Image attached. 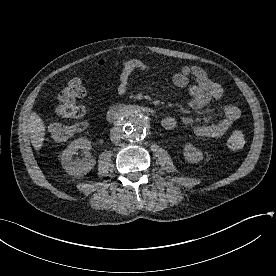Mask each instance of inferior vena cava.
I'll use <instances>...</instances> for the list:
<instances>
[{
    "instance_id": "1",
    "label": "inferior vena cava",
    "mask_w": 276,
    "mask_h": 276,
    "mask_svg": "<svg viewBox=\"0 0 276 276\" xmlns=\"http://www.w3.org/2000/svg\"><path fill=\"white\" fill-rule=\"evenodd\" d=\"M121 137V133L117 130H112L110 133L111 141L115 144H118L120 142Z\"/></svg>"
}]
</instances>
